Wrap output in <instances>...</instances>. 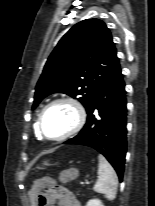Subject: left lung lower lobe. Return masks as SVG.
<instances>
[{
	"label": "left lung lower lobe",
	"instance_id": "0a47b994",
	"mask_svg": "<svg viewBox=\"0 0 155 206\" xmlns=\"http://www.w3.org/2000/svg\"><path fill=\"white\" fill-rule=\"evenodd\" d=\"M126 91L120 65L105 81L87 111L80 133L64 144L92 147L116 170L122 181L126 154Z\"/></svg>",
	"mask_w": 155,
	"mask_h": 206
}]
</instances>
